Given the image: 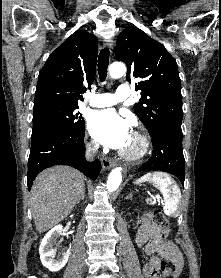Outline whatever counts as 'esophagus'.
<instances>
[{
	"label": "esophagus",
	"mask_w": 221,
	"mask_h": 278,
	"mask_svg": "<svg viewBox=\"0 0 221 278\" xmlns=\"http://www.w3.org/2000/svg\"><path fill=\"white\" fill-rule=\"evenodd\" d=\"M104 46L110 49L113 48V42L111 40H105ZM101 163L104 169H110L116 165V162L110 158L102 157Z\"/></svg>",
	"instance_id": "esophagus-1"
}]
</instances>
